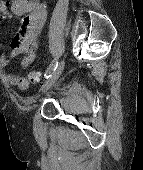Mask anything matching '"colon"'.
I'll return each instance as SVG.
<instances>
[{"instance_id": "obj_1", "label": "colon", "mask_w": 143, "mask_h": 170, "mask_svg": "<svg viewBox=\"0 0 143 170\" xmlns=\"http://www.w3.org/2000/svg\"><path fill=\"white\" fill-rule=\"evenodd\" d=\"M28 81L32 84H38L42 82V75L38 71H32L28 75Z\"/></svg>"}]
</instances>
